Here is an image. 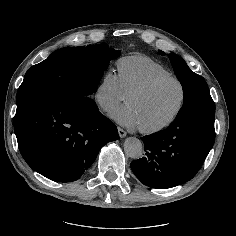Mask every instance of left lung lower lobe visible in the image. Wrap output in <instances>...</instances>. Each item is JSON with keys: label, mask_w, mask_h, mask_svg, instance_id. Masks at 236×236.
<instances>
[{"label": "left lung lower lobe", "mask_w": 236, "mask_h": 236, "mask_svg": "<svg viewBox=\"0 0 236 236\" xmlns=\"http://www.w3.org/2000/svg\"><path fill=\"white\" fill-rule=\"evenodd\" d=\"M215 116L187 115L142 137L144 157L132 161L136 177L152 188H171L192 179L215 141Z\"/></svg>", "instance_id": "0a47b994"}]
</instances>
